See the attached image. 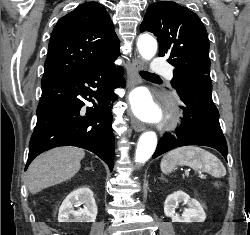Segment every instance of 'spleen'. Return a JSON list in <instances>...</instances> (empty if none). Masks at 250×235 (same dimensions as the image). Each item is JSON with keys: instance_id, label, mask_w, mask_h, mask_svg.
<instances>
[{"instance_id": "spleen-1", "label": "spleen", "mask_w": 250, "mask_h": 235, "mask_svg": "<svg viewBox=\"0 0 250 235\" xmlns=\"http://www.w3.org/2000/svg\"><path fill=\"white\" fill-rule=\"evenodd\" d=\"M177 165L190 166L195 171L203 170L216 178L226 175L223 163L215 155L200 147L176 148L163 157L160 167L164 174H169Z\"/></svg>"}]
</instances>
